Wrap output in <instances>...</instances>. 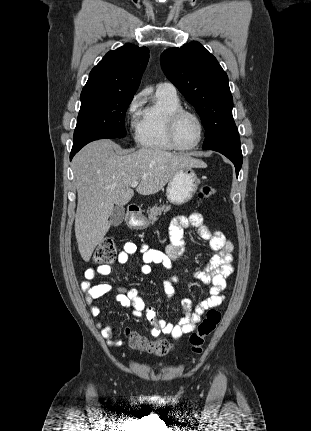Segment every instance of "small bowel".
Segmentation results:
<instances>
[{
  "instance_id": "obj_1",
  "label": "small bowel",
  "mask_w": 311,
  "mask_h": 431,
  "mask_svg": "<svg viewBox=\"0 0 311 431\" xmlns=\"http://www.w3.org/2000/svg\"><path fill=\"white\" fill-rule=\"evenodd\" d=\"M189 227H194L200 238L209 242L210 249L214 252L205 266L195 273V277L210 285L209 296L202 299L195 307L189 299L181 302L182 318L177 324H171L163 318H157L153 308H146L138 288L129 290L119 289L116 295L117 301L124 307L131 308L136 317H145L152 325L151 335L157 337L161 333L171 335L174 339H179L183 335L190 333L195 325L200 321L201 315L212 307L219 306L225 299L223 294L227 287L226 278L233 272V245L226 239L223 233L211 231L204 221L203 216L194 212L189 216H178L174 218L169 227L170 245L165 251L150 249L147 245L137 246L133 242H126L118 255V262L125 264L129 257L138 251L142 254L141 272L148 275L152 272V265H161L166 270H171L174 261L183 253L184 231ZM113 272L111 265H100L96 269L85 271V280L81 283V289L85 293V302L90 308L92 316L100 315V308L95 301L103 295L111 292L113 287L108 283L92 285L90 283L97 275H110ZM177 281L176 275L169 276L164 280L163 288L167 298L174 294V283ZM97 327L101 330L102 336L110 345H122V341L114 340L116 331L111 326L105 325L102 320L97 321Z\"/></svg>"
}]
</instances>
